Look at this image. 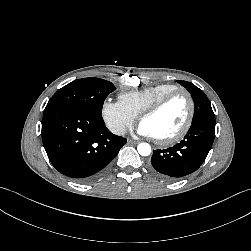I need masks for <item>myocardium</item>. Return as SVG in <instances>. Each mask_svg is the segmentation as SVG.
I'll use <instances>...</instances> for the list:
<instances>
[{"instance_id":"obj_1","label":"myocardium","mask_w":251,"mask_h":251,"mask_svg":"<svg viewBox=\"0 0 251 251\" xmlns=\"http://www.w3.org/2000/svg\"><path fill=\"white\" fill-rule=\"evenodd\" d=\"M178 95L184 96L188 102L189 109H188L187 118H186L183 126L180 128V130L177 131L175 134H173L169 137H166V138H154L156 143H158L159 145L165 146V145L174 144V143L180 141L182 138H184V136L190 130L192 123H193L194 114H195V103H194V100H193L191 94L188 91H186L185 89L177 88L176 90L171 91V92L165 94L164 96H162L161 98H159L156 102H154L152 105H150L148 108H146L143 112H141V114L138 117V120L141 123L143 119L156 114L170 100H172L174 97H176Z\"/></svg>"}]
</instances>
